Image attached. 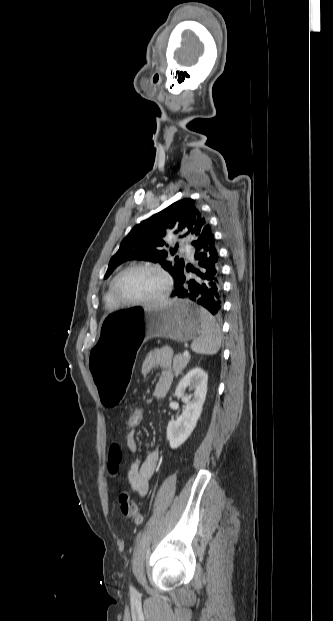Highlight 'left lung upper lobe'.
Segmentation results:
<instances>
[{"label": "left lung upper lobe", "instance_id": "5c2ea615", "mask_svg": "<svg viewBox=\"0 0 333 621\" xmlns=\"http://www.w3.org/2000/svg\"><path fill=\"white\" fill-rule=\"evenodd\" d=\"M205 226H208V222L194 200L185 198L171 204L130 231L121 242L117 253L110 259L104 278H108L121 263L137 259L159 263L175 280L177 273L184 269L185 262L178 258L174 261L168 260V253L161 250L166 244L163 238L171 233L181 237L189 236L194 242ZM170 252L174 254L175 250L170 249Z\"/></svg>", "mask_w": 333, "mask_h": 621}]
</instances>
